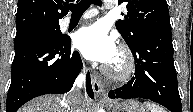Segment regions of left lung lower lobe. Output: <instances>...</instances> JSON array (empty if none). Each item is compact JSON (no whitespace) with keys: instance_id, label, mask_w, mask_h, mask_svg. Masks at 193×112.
I'll return each instance as SVG.
<instances>
[{"instance_id":"obj_1","label":"left lung lower lobe","mask_w":193,"mask_h":112,"mask_svg":"<svg viewBox=\"0 0 193 112\" xmlns=\"http://www.w3.org/2000/svg\"><path fill=\"white\" fill-rule=\"evenodd\" d=\"M130 50L136 63L135 76L124 86L110 91L109 97L149 99L171 112H182L171 29L146 35Z\"/></svg>"}]
</instances>
